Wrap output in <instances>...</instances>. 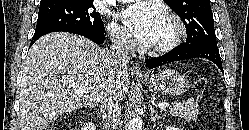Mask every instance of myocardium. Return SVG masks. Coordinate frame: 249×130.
I'll use <instances>...</instances> for the list:
<instances>
[{
	"instance_id": "obj_1",
	"label": "myocardium",
	"mask_w": 249,
	"mask_h": 130,
	"mask_svg": "<svg viewBox=\"0 0 249 130\" xmlns=\"http://www.w3.org/2000/svg\"><path fill=\"white\" fill-rule=\"evenodd\" d=\"M165 19L173 25L174 34L167 41L150 48V53L154 55H162L172 51L178 47L187 36L186 26L179 16L168 13L165 15Z\"/></svg>"
}]
</instances>
